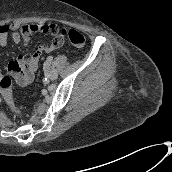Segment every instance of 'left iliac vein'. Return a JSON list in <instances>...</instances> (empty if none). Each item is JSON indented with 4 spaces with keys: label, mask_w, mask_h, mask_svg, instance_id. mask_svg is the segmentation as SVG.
Instances as JSON below:
<instances>
[{
    "label": "left iliac vein",
    "mask_w": 172,
    "mask_h": 172,
    "mask_svg": "<svg viewBox=\"0 0 172 172\" xmlns=\"http://www.w3.org/2000/svg\"><path fill=\"white\" fill-rule=\"evenodd\" d=\"M49 63H45V68H46V71H47V77L50 79V80H56L57 77H58V72L56 69H49Z\"/></svg>",
    "instance_id": "left-iliac-vein-1"
}]
</instances>
